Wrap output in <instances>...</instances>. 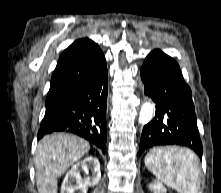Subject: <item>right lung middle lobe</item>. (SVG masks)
Segmentation results:
<instances>
[{"label": "right lung middle lobe", "mask_w": 221, "mask_h": 193, "mask_svg": "<svg viewBox=\"0 0 221 193\" xmlns=\"http://www.w3.org/2000/svg\"><path fill=\"white\" fill-rule=\"evenodd\" d=\"M63 109V100L46 102V112L44 118H48Z\"/></svg>", "instance_id": "right-lung-middle-lobe-1"}]
</instances>
